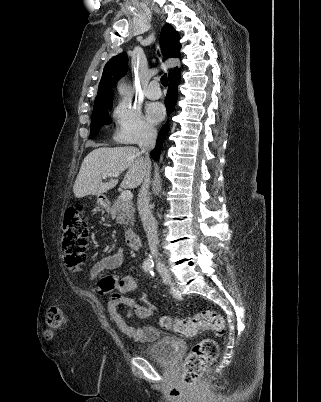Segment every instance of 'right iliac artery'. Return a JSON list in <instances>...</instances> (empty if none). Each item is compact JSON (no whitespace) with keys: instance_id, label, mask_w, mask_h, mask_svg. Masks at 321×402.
Listing matches in <instances>:
<instances>
[{"instance_id":"1","label":"right iliac artery","mask_w":321,"mask_h":402,"mask_svg":"<svg viewBox=\"0 0 321 402\" xmlns=\"http://www.w3.org/2000/svg\"><path fill=\"white\" fill-rule=\"evenodd\" d=\"M152 267H153V265H151V264H145L143 266V269L147 272V271H150L152 269Z\"/></svg>"}]
</instances>
